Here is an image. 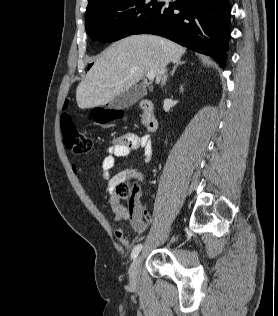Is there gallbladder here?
Wrapping results in <instances>:
<instances>
[{
	"label": "gallbladder",
	"instance_id": "bac80fb5",
	"mask_svg": "<svg viewBox=\"0 0 278 316\" xmlns=\"http://www.w3.org/2000/svg\"><path fill=\"white\" fill-rule=\"evenodd\" d=\"M143 85H134L109 102L108 107L113 109H127L146 95Z\"/></svg>",
	"mask_w": 278,
	"mask_h": 316
}]
</instances>
